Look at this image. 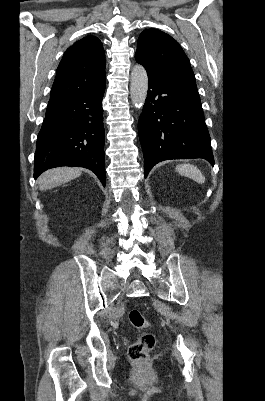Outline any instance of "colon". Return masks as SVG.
<instances>
[{
  "instance_id": "obj_1",
  "label": "colon",
  "mask_w": 265,
  "mask_h": 401,
  "mask_svg": "<svg viewBox=\"0 0 265 401\" xmlns=\"http://www.w3.org/2000/svg\"><path fill=\"white\" fill-rule=\"evenodd\" d=\"M129 321L136 328H147L149 322L139 310H132L129 313ZM156 344L155 336L152 333L142 334L129 348L128 354L131 360L136 363H143L148 359L150 352Z\"/></svg>"
}]
</instances>
